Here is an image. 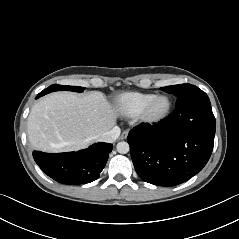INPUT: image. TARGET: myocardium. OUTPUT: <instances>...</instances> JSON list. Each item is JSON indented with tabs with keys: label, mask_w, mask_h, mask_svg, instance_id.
Masks as SVG:
<instances>
[{
	"label": "myocardium",
	"mask_w": 239,
	"mask_h": 239,
	"mask_svg": "<svg viewBox=\"0 0 239 239\" xmlns=\"http://www.w3.org/2000/svg\"><path fill=\"white\" fill-rule=\"evenodd\" d=\"M159 100H164L166 105L164 110L157 115L152 114V107ZM172 102L167 95H155L148 100L138 114L139 120L149 126H155L163 122L170 115Z\"/></svg>",
	"instance_id": "obj_1"
}]
</instances>
